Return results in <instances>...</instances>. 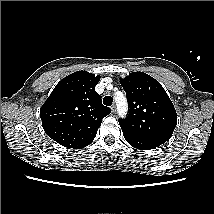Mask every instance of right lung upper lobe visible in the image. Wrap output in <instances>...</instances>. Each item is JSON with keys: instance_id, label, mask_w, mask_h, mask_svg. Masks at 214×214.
<instances>
[{"instance_id": "1", "label": "right lung upper lobe", "mask_w": 214, "mask_h": 214, "mask_svg": "<svg viewBox=\"0 0 214 214\" xmlns=\"http://www.w3.org/2000/svg\"><path fill=\"white\" fill-rule=\"evenodd\" d=\"M100 76L74 72L58 82L40 109L46 134L62 146L81 149L95 138L102 119L111 113L95 91Z\"/></svg>"}]
</instances>
